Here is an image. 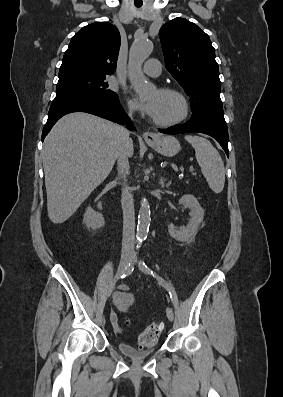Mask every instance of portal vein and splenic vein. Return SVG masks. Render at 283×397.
Wrapping results in <instances>:
<instances>
[{
  "label": "portal vein and splenic vein",
  "instance_id": "obj_1",
  "mask_svg": "<svg viewBox=\"0 0 283 397\" xmlns=\"http://www.w3.org/2000/svg\"><path fill=\"white\" fill-rule=\"evenodd\" d=\"M189 171L192 173L193 172V166H190Z\"/></svg>",
  "mask_w": 283,
  "mask_h": 397
}]
</instances>
